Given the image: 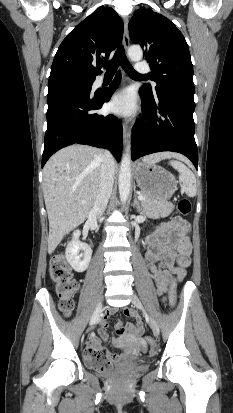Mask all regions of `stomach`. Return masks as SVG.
Here are the masks:
<instances>
[{
    "label": "stomach",
    "instance_id": "stomach-1",
    "mask_svg": "<svg viewBox=\"0 0 233 413\" xmlns=\"http://www.w3.org/2000/svg\"><path fill=\"white\" fill-rule=\"evenodd\" d=\"M134 174L142 193L157 200L166 201L177 189L175 177L156 164L139 162Z\"/></svg>",
    "mask_w": 233,
    "mask_h": 413
}]
</instances>
